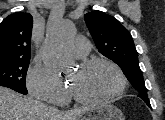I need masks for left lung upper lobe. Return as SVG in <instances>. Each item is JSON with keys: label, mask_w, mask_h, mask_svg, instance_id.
Returning a JSON list of instances; mask_svg holds the SVG:
<instances>
[{"label": "left lung upper lobe", "mask_w": 165, "mask_h": 120, "mask_svg": "<svg viewBox=\"0 0 165 120\" xmlns=\"http://www.w3.org/2000/svg\"><path fill=\"white\" fill-rule=\"evenodd\" d=\"M84 19L98 51L120 66L139 92L138 96L151 106L129 31L117 19L101 11L87 13Z\"/></svg>", "instance_id": "5c2ea615"}]
</instances>
